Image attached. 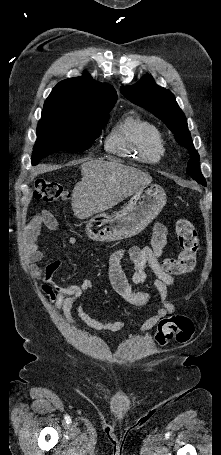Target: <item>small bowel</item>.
I'll list each match as a JSON object with an SVG mask.
<instances>
[{
    "instance_id": "c3829d8e",
    "label": "small bowel",
    "mask_w": 221,
    "mask_h": 455,
    "mask_svg": "<svg viewBox=\"0 0 221 455\" xmlns=\"http://www.w3.org/2000/svg\"><path fill=\"white\" fill-rule=\"evenodd\" d=\"M55 230L58 227L56 219L48 212L41 211L35 214L27 223L24 234V243L27 255L31 262H39L44 258L39 249L38 237L42 228ZM167 242V230L162 224H156L153 228L149 246H130L120 249L112 254L108 262V274L114 290L126 302L133 306H143L152 301L153 295L147 286L146 269L149 267L155 274L154 288L158 292L162 307L158 308L153 315L148 317L139 327L140 332H146L154 328L160 320L176 312L174 303L170 300V288L174 284L172 276L165 273L161 267V256ZM69 245L78 244V237L70 236ZM128 257L133 264L132 283L141 285L143 290H136L127 279L122 266V260ZM61 267L60 261H53L38 268L43 276L44 284L42 291L48 296L50 302L57 311H60L66 321L73 325L75 317L73 309L77 301L93 288L89 280L78 285H59L54 280L55 273ZM77 316L90 328L101 332H118L126 325V321L104 322L98 317L89 315L80 304L76 305Z\"/></svg>"
}]
</instances>
